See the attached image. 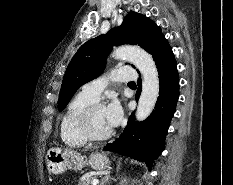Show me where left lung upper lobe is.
<instances>
[{
    "label": "left lung upper lobe",
    "instance_id": "1",
    "mask_svg": "<svg viewBox=\"0 0 233 185\" xmlns=\"http://www.w3.org/2000/svg\"><path fill=\"white\" fill-rule=\"evenodd\" d=\"M164 38L161 28L145 15L130 11L121 26L84 43L70 61L59 95L58 109L62 111L77 89L99 76L113 46L135 44L151 55Z\"/></svg>",
    "mask_w": 233,
    "mask_h": 185
}]
</instances>
